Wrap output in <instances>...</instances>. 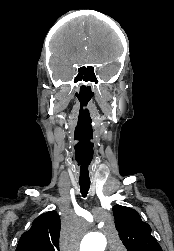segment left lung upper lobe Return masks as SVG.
Wrapping results in <instances>:
<instances>
[{"mask_svg":"<svg viewBox=\"0 0 174 251\" xmlns=\"http://www.w3.org/2000/svg\"><path fill=\"white\" fill-rule=\"evenodd\" d=\"M113 214L119 237L128 251H162L151 235L150 226L141 220L137 211L115 205Z\"/></svg>","mask_w":174,"mask_h":251,"instance_id":"obj_1","label":"left lung upper lobe"}]
</instances>
